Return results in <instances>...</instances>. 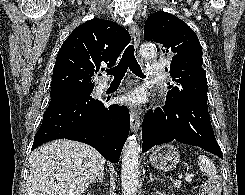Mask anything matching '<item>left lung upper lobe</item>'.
I'll return each instance as SVG.
<instances>
[{"label":"left lung upper lobe","instance_id":"5c2ea615","mask_svg":"<svg viewBox=\"0 0 245 195\" xmlns=\"http://www.w3.org/2000/svg\"><path fill=\"white\" fill-rule=\"evenodd\" d=\"M144 38L160 43L174 53L169 68L175 87L167 92L166 101L177 103L195 100L207 104L206 72L202 48L195 32L178 17L163 11L150 15L144 26Z\"/></svg>","mask_w":245,"mask_h":195}]
</instances>
